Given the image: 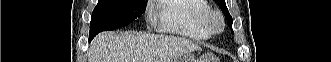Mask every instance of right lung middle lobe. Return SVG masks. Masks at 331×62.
Instances as JSON below:
<instances>
[{
	"mask_svg": "<svg viewBox=\"0 0 331 62\" xmlns=\"http://www.w3.org/2000/svg\"><path fill=\"white\" fill-rule=\"evenodd\" d=\"M146 9L144 0H98L90 23V40L99 32L128 25Z\"/></svg>",
	"mask_w": 331,
	"mask_h": 62,
	"instance_id": "right-lung-middle-lobe-1",
	"label": "right lung middle lobe"
}]
</instances>
